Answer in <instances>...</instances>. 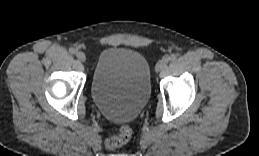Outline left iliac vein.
Listing matches in <instances>:
<instances>
[{
  "instance_id": "1",
  "label": "left iliac vein",
  "mask_w": 259,
  "mask_h": 156,
  "mask_svg": "<svg viewBox=\"0 0 259 156\" xmlns=\"http://www.w3.org/2000/svg\"><path fill=\"white\" fill-rule=\"evenodd\" d=\"M167 64H168L167 58H163L159 60L155 67L156 72H160L163 69H165L167 67Z\"/></svg>"
}]
</instances>
